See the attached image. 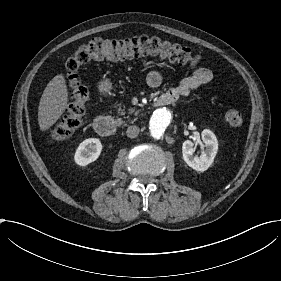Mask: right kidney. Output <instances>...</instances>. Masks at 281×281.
I'll list each match as a JSON object with an SVG mask.
<instances>
[{
  "instance_id": "ca27d5eb",
  "label": "right kidney",
  "mask_w": 281,
  "mask_h": 281,
  "mask_svg": "<svg viewBox=\"0 0 281 281\" xmlns=\"http://www.w3.org/2000/svg\"><path fill=\"white\" fill-rule=\"evenodd\" d=\"M102 148L103 146L99 139H85L78 145L74 153L75 164L80 167H86L93 163L100 157Z\"/></svg>"
}]
</instances>
